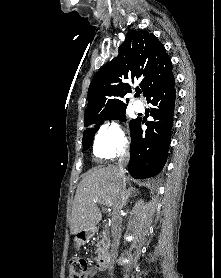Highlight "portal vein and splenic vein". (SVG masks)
Masks as SVG:
<instances>
[{"instance_id":"1","label":"portal vein and splenic vein","mask_w":221,"mask_h":278,"mask_svg":"<svg viewBox=\"0 0 221 278\" xmlns=\"http://www.w3.org/2000/svg\"><path fill=\"white\" fill-rule=\"evenodd\" d=\"M100 203H103L106 206H110L111 205V201L110 200L100 201Z\"/></svg>"}]
</instances>
